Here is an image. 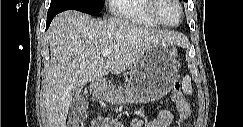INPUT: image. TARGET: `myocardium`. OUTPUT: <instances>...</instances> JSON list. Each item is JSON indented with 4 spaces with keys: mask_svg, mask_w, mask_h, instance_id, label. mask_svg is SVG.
<instances>
[{
    "mask_svg": "<svg viewBox=\"0 0 243 127\" xmlns=\"http://www.w3.org/2000/svg\"><path fill=\"white\" fill-rule=\"evenodd\" d=\"M161 1L162 0H149V11H150L151 17L157 23H159L161 26H164V27H167V28H173V27L179 26L182 23V21L184 19V15H185V12H184V9H183L181 2L179 0H173L179 7L180 18L176 23L169 24L161 18L160 14L158 12V8H159Z\"/></svg>",
    "mask_w": 243,
    "mask_h": 127,
    "instance_id": "1",
    "label": "myocardium"
}]
</instances>
